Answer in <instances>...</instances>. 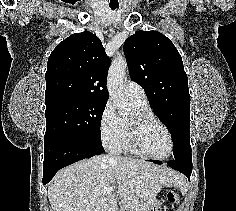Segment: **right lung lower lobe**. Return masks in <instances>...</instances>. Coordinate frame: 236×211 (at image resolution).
<instances>
[{"label":"right lung lower lobe","mask_w":236,"mask_h":211,"mask_svg":"<svg viewBox=\"0 0 236 211\" xmlns=\"http://www.w3.org/2000/svg\"><path fill=\"white\" fill-rule=\"evenodd\" d=\"M103 152L102 143L86 138L62 136L45 139L43 184H47L59 169Z\"/></svg>","instance_id":"right-lung-lower-lobe-1"}]
</instances>
